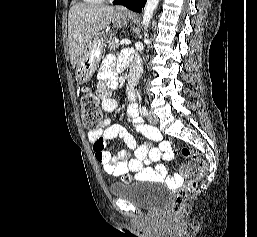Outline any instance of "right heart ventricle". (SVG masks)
I'll use <instances>...</instances> for the list:
<instances>
[{"mask_svg":"<svg viewBox=\"0 0 257 237\" xmlns=\"http://www.w3.org/2000/svg\"><path fill=\"white\" fill-rule=\"evenodd\" d=\"M104 0H84L85 3L89 5H98L101 4Z\"/></svg>","mask_w":257,"mask_h":237,"instance_id":"right-heart-ventricle-1","label":"right heart ventricle"}]
</instances>
